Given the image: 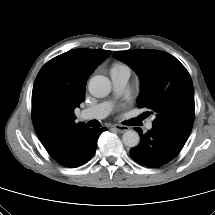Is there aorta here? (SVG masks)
<instances>
[{
  "instance_id": "762f6f07",
  "label": "aorta",
  "mask_w": 215,
  "mask_h": 215,
  "mask_svg": "<svg viewBox=\"0 0 215 215\" xmlns=\"http://www.w3.org/2000/svg\"><path fill=\"white\" fill-rule=\"evenodd\" d=\"M88 89L92 96L103 98L111 92V82L105 76L96 75L90 79ZM122 141L127 147H136L140 142V136L135 130H128L123 134Z\"/></svg>"
}]
</instances>
